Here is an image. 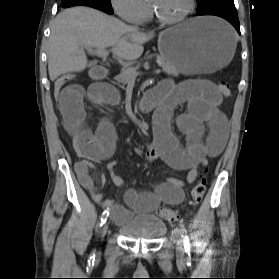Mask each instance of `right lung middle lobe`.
Instances as JSON below:
<instances>
[{"label": "right lung middle lobe", "instance_id": "dd1d6c3e", "mask_svg": "<svg viewBox=\"0 0 279 279\" xmlns=\"http://www.w3.org/2000/svg\"><path fill=\"white\" fill-rule=\"evenodd\" d=\"M102 5L106 6L107 8L112 9L111 0H98Z\"/></svg>", "mask_w": 279, "mask_h": 279}]
</instances>
